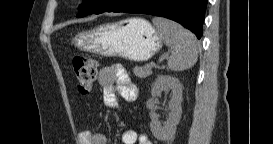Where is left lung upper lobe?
<instances>
[{
    "mask_svg": "<svg viewBox=\"0 0 273 144\" xmlns=\"http://www.w3.org/2000/svg\"><path fill=\"white\" fill-rule=\"evenodd\" d=\"M105 0H84V3L81 5L80 14L77 17H83L86 15H91L99 10Z\"/></svg>",
    "mask_w": 273,
    "mask_h": 144,
    "instance_id": "1",
    "label": "left lung upper lobe"
}]
</instances>
